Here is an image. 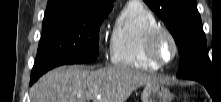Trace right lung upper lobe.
Instances as JSON below:
<instances>
[{"mask_svg":"<svg viewBox=\"0 0 221 102\" xmlns=\"http://www.w3.org/2000/svg\"><path fill=\"white\" fill-rule=\"evenodd\" d=\"M114 0H48L46 12L79 7L108 9L113 8Z\"/></svg>","mask_w":221,"mask_h":102,"instance_id":"obj_1","label":"right lung upper lobe"}]
</instances>
